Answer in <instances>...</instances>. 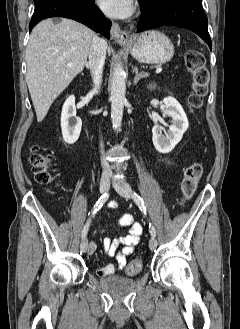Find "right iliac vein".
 Listing matches in <instances>:
<instances>
[{
	"label": "right iliac vein",
	"instance_id": "obj_1",
	"mask_svg": "<svg viewBox=\"0 0 240 329\" xmlns=\"http://www.w3.org/2000/svg\"><path fill=\"white\" fill-rule=\"evenodd\" d=\"M111 180L109 177H103L100 181V192L106 193L109 190ZM88 247V240L84 238L80 244V250L82 253H85L87 251Z\"/></svg>",
	"mask_w": 240,
	"mask_h": 329
}]
</instances>
